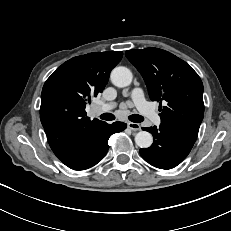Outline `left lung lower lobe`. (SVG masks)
Returning <instances> with one entry per match:
<instances>
[{
	"instance_id": "obj_1",
	"label": "left lung lower lobe",
	"mask_w": 231,
	"mask_h": 231,
	"mask_svg": "<svg viewBox=\"0 0 231 231\" xmlns=\"http://www.w3.org/2000/svg\"><path fill=\"white\" fill-rule=\"evenodd\" d=\"M142 129L153 135L154 142L149 148L140 149V154L145 161L160 169L176 167L187 157L195 143L162 124Z\"/></svg>"
}]
</instances>
